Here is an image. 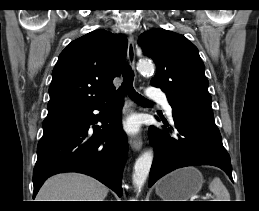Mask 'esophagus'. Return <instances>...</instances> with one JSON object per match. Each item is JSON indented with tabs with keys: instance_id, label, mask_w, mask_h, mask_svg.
Here are the masks:
<instances>
[{
	"instance_id": "obj_1",
	"label": "esophagus",
	"mask_w": 259,
	"mask_h": 211,
	"mask_svg": "<svg viewBox=\"0 0 259 211\" xmlns=\"http://www.w3.org/2000/svg\"><path fill=\"white\" fill-rule=\"evenodd\" d=\"M128 61L132 68L135 67V47L134 37L132 34L128 36ZM130 146L133 150L139 151L142 148L141 137H131L129 140Z\"/></svg>"
}]
</instances>
